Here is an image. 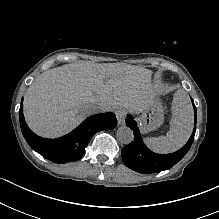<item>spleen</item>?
Masks as SVG:
<instances>
[{"label":"spleen","mask_w":219,"mask_h":219,"mask_svg":"<svg viewBox=\"0 0 219 219\" xmlns=\"http://www.w3.org/2000/svg\"><path fill=\"white\" fill-rule=\"evenodd\" d=\"M193 109L187 92L178 89L172 101V119L166 136L146 138L149 148L157 153H172L180 149L193 130Z\"/></svg>","instance_id":"1"}]
</instances>
